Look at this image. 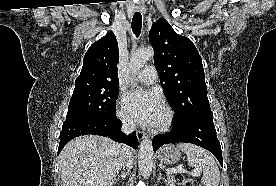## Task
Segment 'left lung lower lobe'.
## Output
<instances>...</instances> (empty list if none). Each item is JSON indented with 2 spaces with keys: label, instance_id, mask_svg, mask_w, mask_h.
<instances>
[{
  "label": "left lung lower lobe",
  "instance_id": "1",
  "mask_svg": "<svg viewBox=\"0 0 276 186\" xmlns=\"http://www.w3.org/2000/svg\"><path fill=\"white\" fill-rule=\"evenodd\" d=\"M178 142L192 143L207 149L214 154L223 167L222 151L213 124V114L200 115L181 123H173L170 133L153 138V150L156 151L164 144Z\"/></svg>",
  "mask_w": 276,
  "mask_h": 186
}]
</instances>
